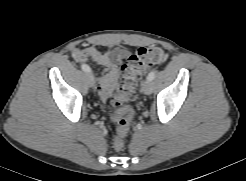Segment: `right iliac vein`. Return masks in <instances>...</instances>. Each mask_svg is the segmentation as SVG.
I'll list each match as a JSON object with an SVG mask.
<instances>
[{"label":"right iliac vein","instance_id":"63e3f726","mask_svg":"<svg viewBox=\"0 0 246 181\" xmlns=\"http://www.w3.org/2000/svg\"><path fill=\"white\" fill-rule=\"evenodd\" d=\"M87 78H88V82H89V85L92 87L94 86V77L92 74L88 73L87 74Z\"/></svg>","mask_w":246,"mask_h":181}]
</instances>
